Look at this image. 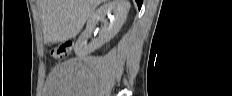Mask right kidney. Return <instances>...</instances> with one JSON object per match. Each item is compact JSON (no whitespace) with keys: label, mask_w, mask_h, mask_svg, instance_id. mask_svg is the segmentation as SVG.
<instances>
[{"label":"right kidney","mask_w":232,"mask_h":96,"mask_svg":"<svg viewBox=\"0 0 232 96\" xmlns=\"http://www.w3.org/2000/svg\"><path fill=\"white\" fill-rule=\"evenodd\" d=\"M129 9L130 4L128 0H110L108 3L94 11L88 19L86 29L75 44V53L79 57H86L88 54L94 52L96 49L110 41L121 29ZM112 12L114 15H111ZM106 15H108L110 23L105 21L98 38L88 44L87 38L91 36L95 25L99 20L105 19Z\"/></svg>","instance_id":"1"}]
</instances>
